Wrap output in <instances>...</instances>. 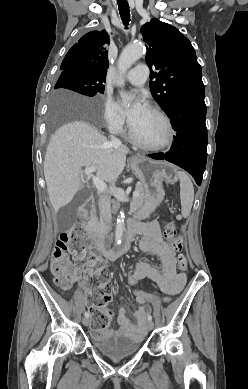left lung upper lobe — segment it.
<instances>
[{"label": "left lung upper lobe", "mask_w": 248, "mask_h": 389, "mask_svg": "<svg viewBox=\"0 0 248 389\" xmlns=\"http://www.w3.org/2000/svg\"><path fill=\"white\" fill-rule=\"evenodd\" d=\"M141 33L146 42V62L154 79L150 90L165 113L181 98L204 91L195 50L177 28L153 18L142 26Z\"/></svg>", "instance_id": "left-lung-upper-lobe-1"}]
</instances>
